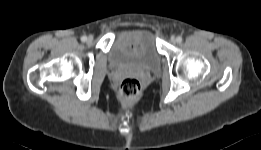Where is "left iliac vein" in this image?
<instances>
[{
  "label": "left iliac vein",
  "mask_w": 261,
  "mask_h": 150,
  "mask_svg": "<svg viewBox=\"0 0 261 150\" xmlns=\"http://www.w3.org/2000/svg\"><path fill=\"white\" fill-rule=\"evenodd\" d=\"M170 40H171L172 43L176 42V38L174 36H172Z\"/></svg>",
  "instance_id": "left-iliac-vein-1"
}]
</instances>
